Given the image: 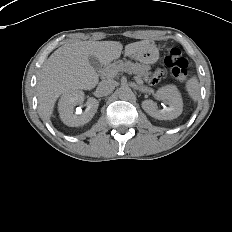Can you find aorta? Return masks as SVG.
Wrapping results in <instances>:
<instances>
[{"instance_id":"1","label":"aorta","mask_w":232,"mask_h":232,"mask_svg":"<svg viewBox=\"0 0 232 232\" xmlns=\"http://www.w3.org/2000/svg\"><path fill=\"white\" fill-rule=\"evenodd\" d=\"M118 96L122 100H129L133 96V92L129 86H122L118 90Z\"/></svg>"}]
</instances>
